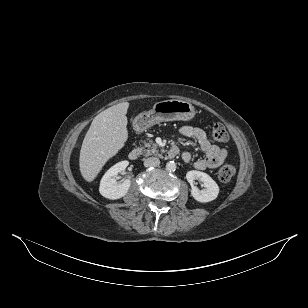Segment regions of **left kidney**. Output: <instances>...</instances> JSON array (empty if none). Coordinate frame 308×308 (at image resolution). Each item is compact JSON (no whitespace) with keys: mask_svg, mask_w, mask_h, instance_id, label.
<instances>
[{"mask_svg":"<svg viewBox=\"0 0 308 308\" xmlns=\"http://www.w3.org/2000/svg\"><path fill=\"white\" fill-rule=\"evenodd\" d=\"M186 179L191 185V195L196 201L207 203L217 198L219 194V186L208 174L201 171L192 170L187 172ZM196 179L203 182L205 189L199 190L196 186H194V180Z\"/></svg>","mask_w":308,"mask_h":308,"instance_id":"obj_1","label":"left kidney"}]
</instances>
